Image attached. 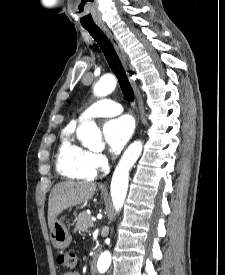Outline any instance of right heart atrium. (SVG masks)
Here are the masks:
<instances>
[{
    "instance_id": "obj_1",
    "label": "right heart atrium",
    "mask_w": 225,
    "mask_h": 275,
    "mask_svg": "<svg viewBox=\"0 0 225 275\" xmlns=\"http://www.w3.org/2000/svg\"><path fill=\"white\" fill-rule=\"evenodd\" d=\"M90 161L92 166L97 169H103L107 164L106 157L101 153L90 152Z\"/></svg>"
}]
</instances>
